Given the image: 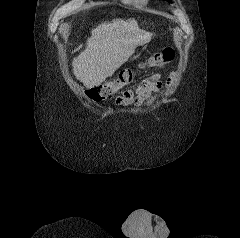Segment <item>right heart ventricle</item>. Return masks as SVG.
Masks as SVG:
<instances>
[{"mask_svg": "<svg viewBox=\"0 0 240 238\" xmlns=\"http://www.w3.org/2000/svg\"><path fill=\"white\" fill-rule=\"evenodd\" d=\"M125 4H133V5H142L146 3L147 0H121Z\"/></svg>", "mask_w": 240, "mask_h": 238, "instance_id": "e07e8e85", "label": "right heart ventricle"}]
</instances>
